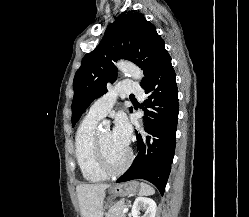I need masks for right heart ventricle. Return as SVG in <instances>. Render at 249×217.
<instances>
[{
	"label": "right heart ventricle",
	"mask_w": 249,
	"mask_h": 217,
	"mask_svg": "<svg viewBox=\"0 0 249 217\" xmlns=\"http://www.w3.org/2000/svg\"><path fill=\"white\" fill-rule=\"evenodd\" d=\"M99 119L89 116L83 118L75 136V157L83 178L89 182H101L107 174L101 169L96 148V126Z\"/></svg>",
	"instance_id": "e07e8e85"
}]
</instances>
